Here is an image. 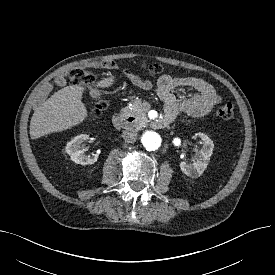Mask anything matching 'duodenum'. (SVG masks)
Wrapping results in <instances>:
<instances>
[{
    "label": "duodenum",
    "mask_w": 275,
    "mask_h": 275,
    "mask_svg": "<svg viewBox=\"0 0 275 275\" xmlns=\"http://www.w3.org/2000/svg\"><path fill=\"white\" fill-rule=\"evenodd\" d=\"M129 120L123 113H118L113 117V124L116 128H124L128 124ZM171 122V119L164 116L154 122V126L158 128L166 127Z\"/></svg>",
    "instance_id": "1"
}]
</instances>
